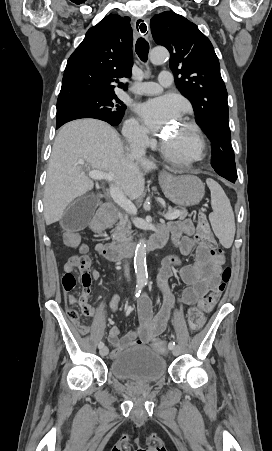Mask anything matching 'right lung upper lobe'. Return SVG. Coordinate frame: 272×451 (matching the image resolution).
Here are the masks:
<instances>
[{
  "label": "right lung upper lobe",
  "instance_id": "obj_1",
  "mask_svg": "<svg viewBox=\"0 0 272 451\" xmlns=\"http://www.w3.org/2000/svg\"><path fill=\"white\" fill-rule=\"evenodd\" d=\"M130 19L116 14L90 28L69 57L58 99L115 95L113 84L127 89L119 78H129L133 65Z\"/></svg>",
  "mask_w": 272,
  "mask_h": 451
}]
</instances>
